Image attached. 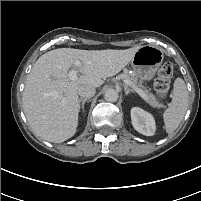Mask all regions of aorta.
<instances>
[{"label":"aorta","mask_w":201,"mask_h":201,"mask_svg":"<svg viewBox=\"0 0 201 201\" xmlns=\"http://www.w3.org/2000/svg\"><path fill=\"white\" fill-rule=\"evenodd\" d=\"M118 97V92L112 88L107 89L104 93V99L108 102H116Z\"/></svg>","instance_id":"762f6f07"}]
</instances>
